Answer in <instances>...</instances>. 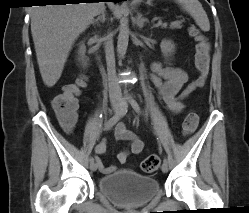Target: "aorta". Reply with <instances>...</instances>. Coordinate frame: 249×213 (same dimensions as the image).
I'll return each instance as SVG.
<instances>
[{
	"mask_svg": "<svg viewBox=\"0 0 249 213\" xmlns=\"http://www.w3.org/2000/svg\"><path fill=\"white\" fill-rule=\"evenodd\" d=\"M126 13L127 8L124 5L122 8V16L120 18L119 35L117 41V52L119 57H123L125 55L129 41V27Z\"/></svg>",
	"mask_w": 249,
	"mask_h": 213,
	"instance_id": "1",
	"label": "aorta"
}]
</instances>
